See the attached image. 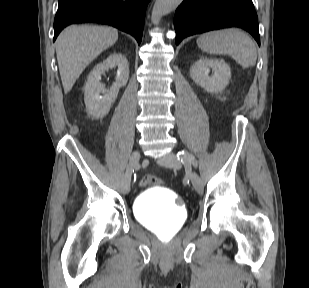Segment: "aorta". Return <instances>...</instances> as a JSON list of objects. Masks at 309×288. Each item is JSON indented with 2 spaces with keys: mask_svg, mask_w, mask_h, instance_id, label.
Masks as SVG:
<instances>
[{
  "mask_svg": "<svg viewBox=\"0 0 309 288\" xmlns=\"http://www.w3.org/2000/svg\"><path fill=\"white\" fill-rule=\"evenodd\" d=\"M183 0H156L151 15V21L153 24L157 25L160 19L174 11Z\"/></svg>",
  "mask_w": 309,
  "mask_h": 288,
  "instance_id": "aorta-1",
  "label": "aorta"
}]
</instances>
